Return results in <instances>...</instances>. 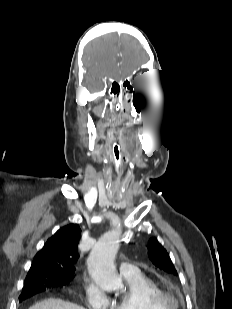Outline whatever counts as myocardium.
Returning <instances> with one entry per match:
<instances>
[{
  "label": "myocardium",
  "mask_w": 232,
  "mask_h": 309,
  "mask_svg": "<svg viewBox=\"0 0 232 309\" xmlns=\"http://www.w3.org/2000/svg\"><path fill=\"white\" fill-rule=\"evenodd\" d=\"M153 300L161 307V309H178L179 300L169 291H160L153 297Z\"/></svg>",
  "instance_id": "obj_1"
}]
</instances>
